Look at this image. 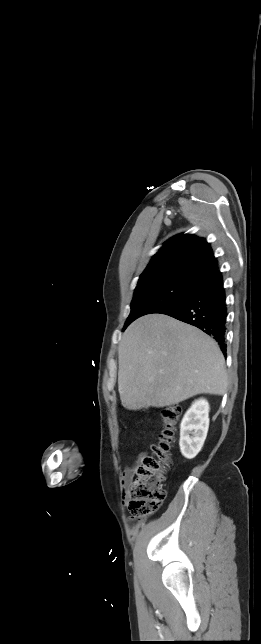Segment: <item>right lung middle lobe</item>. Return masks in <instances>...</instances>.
<instances>
[{
	"mask_svg": "<svg viewBox=\"0 0 261 644\" xmlns=\"http://www.w3.org/2000/svg\"><path fill=\"white\" fill-rule=\"evenodd\" d=\"M196 283L183 278H168L137 286L130 305L131 312L123 330L143 315L161 313L181 303Z\"/></svg>",
	"mask_w": 261,
	"mask_h": 644,
	"instance_id": "obj_1",
	"label": "right lung middle lobe"
}]
</instances>
